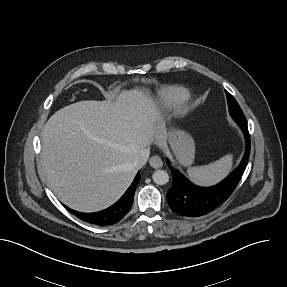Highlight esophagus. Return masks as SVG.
<instances>
[{
	"instance_id": "34e87169",
	"label": "esophagus",
	"mask_w": 287,
	"mask_h": 287,
	"mask_svg": "<svg viewBox=\"0 0 287 287\" xmlns=\"http://www.w3.org/2000/svg\"><path fill=\"white\" fill-rule=\"evenodd\" d=\"M149 164L153 168L157 169V168H161L163 166V161L159 156L155 155L149 159Z\"/></svg>"
}]
</instances>
